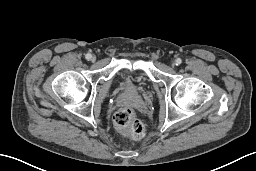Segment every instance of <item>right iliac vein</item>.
<instances>
[{
	"label": "right iliac vein",
	"mask_w": 256,
	"mask_h": 171,
	"mask_svg": "<svg viewBox=\"0 0 256 171\" xmlns=\"http://www.w3.org/2000/svg\"><path fill=\"white\" fill-rule=\"evenodd\" d=\"M92 62H95L96 61V58L94 56L91 57L90 59Z\"/></svg>",
	"instance_id": "obj_1"
}]
</instances>
